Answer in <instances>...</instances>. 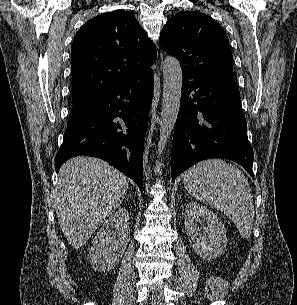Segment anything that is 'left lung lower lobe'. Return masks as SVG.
I'll return each instance as SVG.
<instances>
[{"mask_svg": "<svg viewBox=\"0 0 297 305\" xmlns=\"http://www.w3.org/2000/svg\"><path fill=\"white\" fill-rule=\"evenodd\" d=\"M182 79L172 144V180L209 158L233 160L254 178V154L233 77L198 79L183 72Z\"/></svg>", "mask_w": 297, "mask_h": 305, "instance_id": "obj_1", "label": "left lung lower lobe"}]
</instances>
